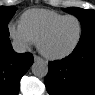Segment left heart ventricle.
<instances>
[{
    "label": "left heart ventricle",
    "instance_id": "left-heart-ventricle-1",
    "mask_svg": "<svg viewBox=\"0 0 95 95\" xmlns=\"http://www.w3.org/2000/svg\"><path fill=\"white\" fill-rule=\"evenodd\" d=\"M78 34L79 24L77 20L66 19L44 40L43 48L51 54L63 53L74 45Z\"/></svg>",
    "mask_w": 95,
    "mask_h": 95
}]
</instances>
